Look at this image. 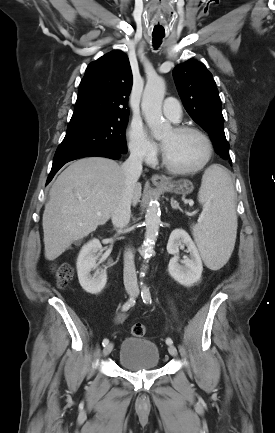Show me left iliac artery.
<instances>
[{
    "mask_svg": "<svg viewBox=\"0 0 275 433\" xmlns=\"http://www.w3.org/2000/svg\"><path fill=\"white\" fill-rule=\"evenodd\" d=\"M141 297H142L144 303H146V304L151 303V294H150L149 288L146 285L142 286ZM166 343L168 345H172L173 341L171 338H167Z\"/></svg>",
    "mask_w": 275,
    "mask_h": 433,
    "instance_id": "1",
    "label": "left iliac artery"
}]
</instances>
